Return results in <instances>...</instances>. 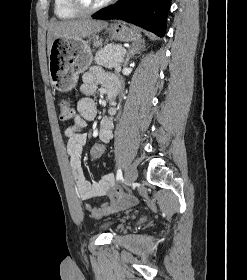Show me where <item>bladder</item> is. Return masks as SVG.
<instances>
[{"instance_id": "31cf9c89", "label": "bladder", "mask_w": 247, "mask_h": 280, "mask_svg": "<svg viewBox=\"0 0 247 280\" xmlns=\"http://www.w3.org/2000/svg\"><path fill=\"white\" fill-rule=\"evenodd\" d=\"M110 226H111V223H110V222H105V223H102V224L100 225V228L107 229V228L110 227Z\"/></svg>"}]
</instances>
